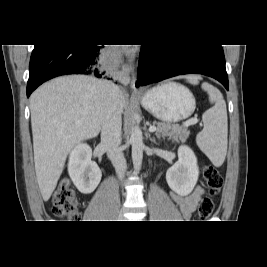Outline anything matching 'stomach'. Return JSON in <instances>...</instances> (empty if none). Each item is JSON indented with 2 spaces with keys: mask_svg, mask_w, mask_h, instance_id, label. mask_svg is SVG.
I'll return each instance as SVG.
<instances>
[{
  "mask_svg": "<svg viewBox=\"0 0 267 267\" xmlns=\"http://www.w3.org/2000/svg\"><path fill=\"white\" fill-rule=\"evenodd\" d=\"M141 104L154 117L166 123L188 118L196 107L190 90L174 82L162 83L148 90L141 96Z\"/></svg>",
  "mask_w": 267,
  "mask_h": 267,
  "instance_id": "1",
  "label": "stomach"
}]
</instances>
